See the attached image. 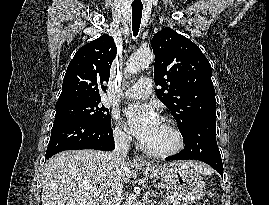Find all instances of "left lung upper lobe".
<instances>
[{
    "mask_svg": "<svg viewBox=\"0 0 269 205\" xmlns=\"http://www.w3.org/2000/svg\"><path fill=\"white\" fill-rule=\"evenodd\" d=\"M155 54L157 97L169 108L183 135L202 119H216L211 65L199 47L171 28L157 32L151 42Z\"/></svg>",
    "mask_w": 269,
    "mask_h": 205,
    "instance_id": "1",
    "label": "left lung upper lobe"
}]
</instances>
